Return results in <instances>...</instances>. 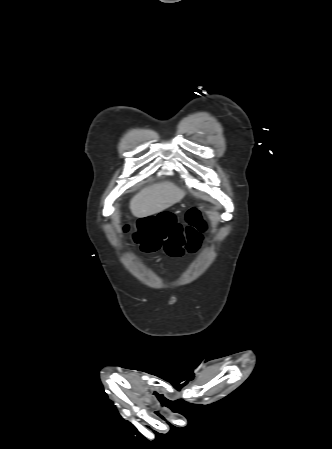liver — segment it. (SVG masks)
Returning <instances> with one entry per match:
<instances>
[{
  "label": "liver",
  "mask_w": 332,
  "mask_h": 449,
  "mask_svg": "<svg viewBox=\"0 0 332 449\" xmlns=\"http://www.w3.org/2000/svg\"><path fill=\"white\" fill-rule=\"evenodd\" d=\"M184 196V190L166 181L141 190L131 199L130 209L135 217L144 218L173 206Z\"/></svg>",
  "instance_id": "1"
}]
</instances>
